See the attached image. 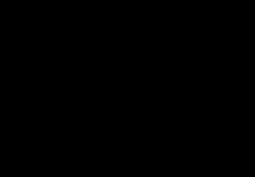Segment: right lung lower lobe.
Listing matches in <instances>:
<instances>
[{"instance_id":"98d812e1","label":"right lung lower lobe","mask_w":255,"mask_h":177,"mask_svg":"<svg viewBox=\"0 0 255 177\" xmlns=\"http://www.w3.org/2000/svg\"><path fill=\"white\" fill-rule=\"evenodd\" d=\"M106 113L103 104L69 108L56 118L57 125L66 133L78 137L89 138L93 134V127L97 120Z\"/></svg>"}]
</instances>
